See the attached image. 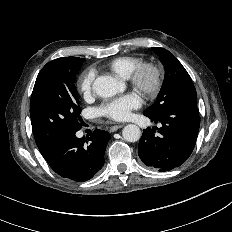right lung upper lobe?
Returning a JSON list of instances; mask_svg holds the SVG:
<instances>
[{"label": "right lung upper lobe", "instance_id": "cb5924a9", "mask_svg": "<svg viewBox=\"0 0 232 232\" xmlns=\"http://www.w3.org/2000/svg\"><path fill=\"white\" fill-rule=\"evenodd\" d=\"M49 154H45L43 157L45 158V157H47Z\"/></svg>", "mask_w": 232, "mask_h": 232}]
</instances>
